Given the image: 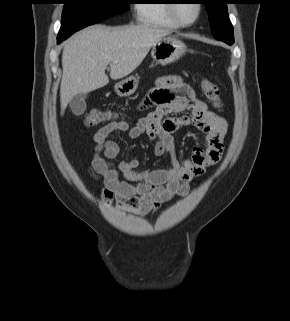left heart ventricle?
Listing matches in <instances>:
<instances>
[{"mask_svg": "<svg viewBox=\"0 0 290 321\" xmlns=\"http://www.w3.org/2000/svg\"><path fill=\"white\" fill-rule=\"evenodd\" d=\"M176 12L183 21L190 22L196 17V14H197L196 4L192 1H185L183 3H178Z\"/></svg>", "mask_w": 290, "mask_h": 321, "instance_id": "left-heart-ventricle-1", "label": "left heart ventricle"}]
</instances>
